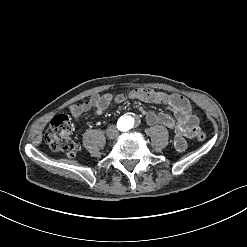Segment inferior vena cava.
Returning <instances> with one entry per match:
<instances>
[{
  "label": "inferior vena cava",
  "instance_id": "inferior-vena-cava-1",
  "mask_svg": "<svg viewBox=\"0 0 247 247\" xmlns=\"http://www.w3.org/2000/svg\"><path fill=\"white\" fill-rule=\"evenodd\" d=\"M119 133V130L116 126L114 125H110L108 128H107V135L110 137V138H114L118 135Z\"/></svg>",
  "mask_w": 247,
  "mask_h": 247
}]
</instances>
